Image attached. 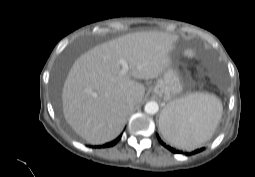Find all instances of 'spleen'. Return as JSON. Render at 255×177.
Segmentation results:
<instances>
[{
	"mask_svg": "<svg viewBox=\"0 0 255 177\" xmlns=\"http://www.w3.org/2000/svg\"><path fill=\"white\" fill-rule=\"evenodd\" d=\"M222 112V103L216 96L193 93L169 104L167 121L160 129L171 145L194 149L212 137Z\"/></svg>",
	"mask_w": 255,
	"mask_h": 177,
	"instance_id": "3e777b00",
	"label": "spleen"
}]
</instances>
